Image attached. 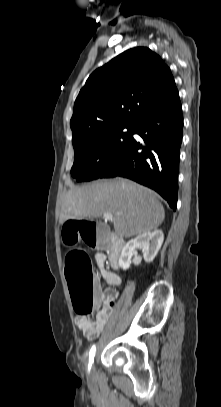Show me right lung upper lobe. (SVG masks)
I'll return each mask as SVG.
<instances>
[{
    "label": "right lung upper lobe",
    "mask_w": 221,
    "mask_h": 407,
    "mask_svg": "<svg viewBox=\"0 0 221 407\" xmlns=\"http://www.w3.org/2000/svg\"><path fill=\"white\" fill-rule=\"evenodd\" d=\"M175 89L172 73L159 55L146 47L123 52L95 70L81 89L70 121L72 143L135 124Z\"/></svg>",
    "instance_id": "right-lung-upper-lobe-1"
}]
</instances>
